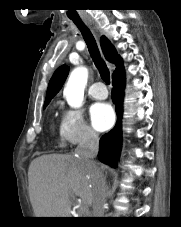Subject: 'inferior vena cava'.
<instances>
[{
	"label": "inferior vena cava",
	"instance_id": "inferior-vena-cava-1",
	"mask_svg": "<svg viewBox=\"0 0 181 227\" xmlns=\"http://www.w3.org/2000/svg\"><path fill=\"white\" fill-rule=\"evenodd\" d=\"M98 148L99 136L93 130L87 129L84 140L75 149V154L93 170V217H104L108 186L102 172L94 162Z\"/></svg>",
	"mask_w": 181,
	"mask_h": 227
}]
</instances>
